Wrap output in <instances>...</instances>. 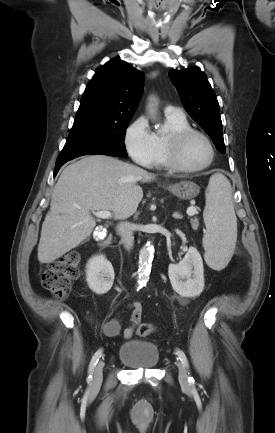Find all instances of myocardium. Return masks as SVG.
Wrapping results in <instances>:
<instances>
[{
	"instance_id": "f54148a6",
	"label": "myocardium",
	"mask_w": 275,
	"mask_h": 433,
	"mask_svg": "<svg viewBox=\"0 0 275 433\" xmlns=\"http://www.w3.org/2000/svg\"><path fill=\"white\" fill-rule=\"evenodd\" d=\"M201 136L208 144L210 149L209 160L199 167L185 166L180 159V152L184 142L190 137ZM216 156L215 146L211 138L203 131L195 128H188L168 135L166 139V159L170 168L182 173H196L207 169L214 161Z\"/></svg>"
}]
</instances>
